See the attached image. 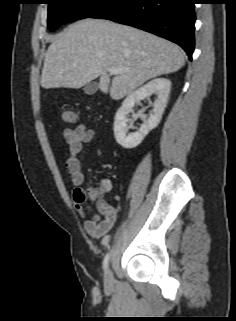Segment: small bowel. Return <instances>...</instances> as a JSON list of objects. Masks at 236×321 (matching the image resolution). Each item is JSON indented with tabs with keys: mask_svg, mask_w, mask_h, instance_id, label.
I'll return each instance as SVG.
<instances>
[{
	"mask_svg": "<svg viewBox=\"0 0 236 321\" xmlns=\"http://www.w3.org/2000/svg\"><path fill=\"white\" fill-rule=\"evenodd\" d=\"M63 136L69 146V156L65 161V168L71 184L74 186L72 201L81 217L85 218L87 214L92 213V209L85 205V199H82L78 193V190L82 189L80 186L85 182L79 155L82 153L84 145L95 139L96 132L85 124H79L75 128L65 129ZM96 155L97 157L102 155L100 148ZM111 189L112 183L109 179L103 178L100 180L97 189L99 197L96 199L98 213H92L91 218L84 222V229L93 238L105 236L117 220V209L105 200Z\"/></svg>",
	"mask_w": 236,
	"mask_h": 321,
	"instance_id": "1",
	"label": "small bowel"
}]
</instances>
